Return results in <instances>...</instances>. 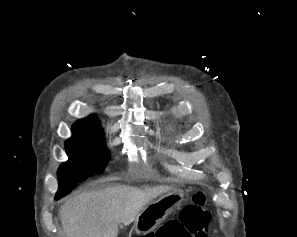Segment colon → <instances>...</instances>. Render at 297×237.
<instances>
[{"mask_svg":"<svg viewBox=\"0 0 297 237\" xmlns=\"http://www.w3.org/2000/svg\"><path fill=\"white\" fill-rule=\"evenodd\" d=\"M206 202L207 198L203 192L194 193L192 202L181 210L177 219L143 237H207L211 214L205 208Z\"/></svg>","mask_w":297,"mask_h":237,"instance_id":"obj_1","label":"colon"}]
</instances>
